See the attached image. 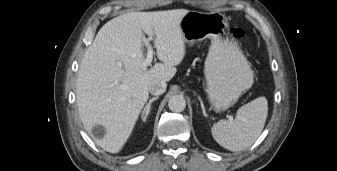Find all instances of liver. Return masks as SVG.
Segmentation results:
<instances>
[{
    "instance_id": "1",
    "label": "liver",
    "mask_w": 337,
    "mask_h": 171,
    "mask_svg": "<svg viewBox=\"0 0 337 171\" xmlns=\"http://www.w3.org/2000/svg\"><path fill=\"white\" fill-rule=\"evenodd\" d=\"M187 9L131 12L104 24L87 49L76 83V101L81 121L91 133L96 125L105 128L97 140L104 150L117 153L130 137L149 98L154 80L170 81L186 53L180 28ZM143 33L154 38L157 57L143 69Z\"/></svg>"
}]
</instances>
